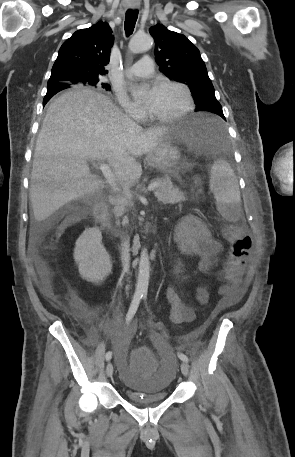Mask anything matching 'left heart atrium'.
<instances>
[{
	"mask_svg": "<svg viewBox=\"0 0 295 457\" xmlns=\"http://www.w3.org/2000/svg\"><path fill=\"white\" fill-rule=\"evenodd\" d=\"M158 88L157 87H152L145 95V102L149 106L151 105L156 96H157Z\"/></svg>",
	"mask_w": 295,
	"mask_h": 457,
	"instance_id": "left-heart-atrium-1",
	"label": "left heart atrium"
}]
</instances>
